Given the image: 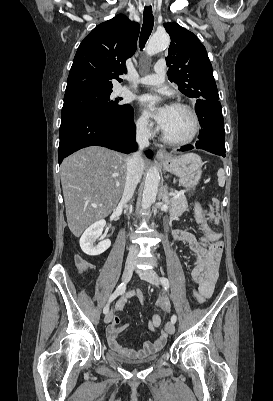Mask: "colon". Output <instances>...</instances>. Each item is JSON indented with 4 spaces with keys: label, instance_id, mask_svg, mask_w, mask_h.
<instances>
[{
    "label": "colon",
    "instance_id": "1",
    "mask_svg": "<svg viewBox=\"0 0 273 401\" xmlns=\"http://www.w3.org/2000/svg\"><path fill=\"white\" fill-rule=\"evenodd\" d=\"M212 203H213V206H216L217 203H218V200L216 198H213ZM77 263H78V267H79L78 274H83V270L84 269L91 270L94 267L93 262H91V261L87 262L86 258H84V257L78 258ZM193 279H196L197 281L203 282V281H205L206 276H205V274L200 273V274H197L196 276H193ZM138 292H139V294L136 296V299L138 301V305L140 307H143L145 305V301H146L145 300L146 292L143 291L142 288H139Z\"/></svg>",
    "mask_w": 273,
    "mask_h": 401
}]
</instances>
